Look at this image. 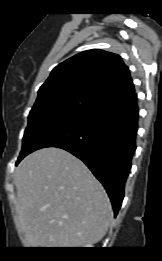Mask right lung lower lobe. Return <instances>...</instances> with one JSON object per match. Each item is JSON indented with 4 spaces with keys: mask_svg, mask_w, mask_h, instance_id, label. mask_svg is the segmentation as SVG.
<instances>
[{
    "mask_svg": "<svg viewBox=\"0 0 162 261\" xmlns=\"http://www.w3.org/2000/svg\"><path fill=\"white\" fill-rule=\"evenodd\" d=\"M138 112L135 91L112 98L51 132L34 151L58 147L81 159L106 189L116 216L136 150Z\"/></svg>",
    "mask_w": 162,
    "mask_h": 261,
    "instance_id": "obj_1",
    "label": "right lung lower lobe"
}]
</instances>
